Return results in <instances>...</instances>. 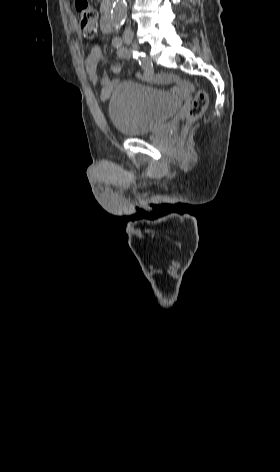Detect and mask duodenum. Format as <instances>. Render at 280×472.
I'll list each match as a JSON object with an SVG mask.
<instances>
[{"label":"duodenum","mask_w":280,"mask_h":472,"mask_svg":"<svg viewBox=\"0 0 280 472\" xmlns=\"http://www.w3.org/2000/svg\"><path fill=\"white\" fill-rule=\"evenodd\" d=\"M101 29L105 33H110L113 29V22L111 19V7L109 4L106 5L103 16L101 19Z\"/></svg>","instance_id":"obj_1"}]
</instances>
